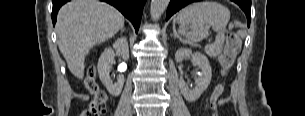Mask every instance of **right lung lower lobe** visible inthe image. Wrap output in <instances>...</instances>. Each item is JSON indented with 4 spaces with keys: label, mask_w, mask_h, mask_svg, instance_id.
<instances>
[{
    "label": "right lung lower lobe",
    "mask_w": 305,
    "mask_h": 116,
    "mask_svg": "<svg viewBox=\"0 0 305 116\" xmlns=\"http://www.w3.org/2000/svg\"><path fill=\"white\" fill-rule=\"evenodd\" d=\"M69 0H52L53 10H52V21L53 25L56 23L57 13L60 7L68 2ZM107 2L114 7H116L126 18H128L136 32L140 25L142 10L146 0H101Z\"/></svg>",
    "instance_id": "right-lung-lower-lobe-1"
}]
</instances>
